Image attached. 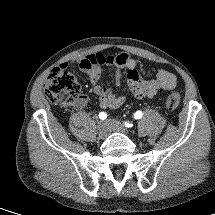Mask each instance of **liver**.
<instances>
[{
  "instance_id": "1",
  "label": "liver",
  "mask_w": 215,
  "mask_h": 215,
  "mask_svg": "<svg viewBox=\"0 0 215 215\" xmlns=\"http://www.w3.org/2000/svg\"><path fill=\"white\" fill-rule=\"evenodd\" d=\"M42 74L39 76V77H37L36 78V85H39L40 84V82H41V80H42Z\"/></svg>"
}]
</instances>
